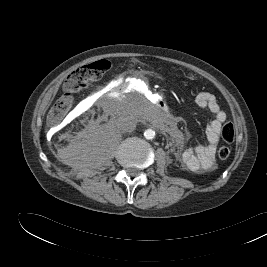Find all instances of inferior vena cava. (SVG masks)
Segmentation results:
<instances>
[{"mask_svg":"<svg viewBox=\"0 0 267 267\" xmlns=\"http://www.w3.org/2000/svg\"><path fill=\"white\" fill-rule=\"evenodd\" d=\"M136 120L130 116H120L116 120V126L121 132H132L136 127Z\"/></svg>","mask_w":267,"mask_h":267,"instance_id":"1","label":"inferior vena cava"}]
</instances>
